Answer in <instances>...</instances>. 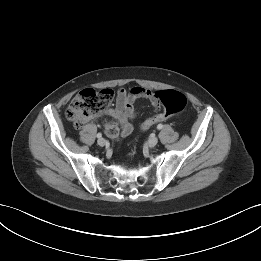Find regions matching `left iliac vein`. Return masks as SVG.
<instances>
[{
  "label": "left iliac vein",
  "instance_id": "4c4485c4",
  "mask_svg": "<svg viewBox=\"0 0 261 261\" xmlns=\"http://www.w3.org/2000/svg\"><path fill=\"white\" fill-rule=\"evenodd\" d=\"M158 143V138L157 137H151L148 140V145L150 147H154Z\"/></svg>",
  "mask_w": 261,
  "mask_h": 261
}]
</instances>
